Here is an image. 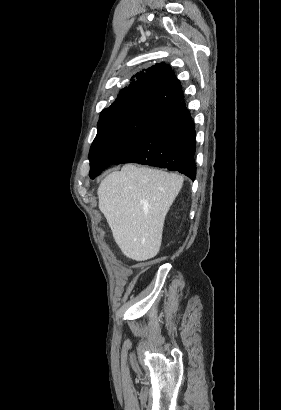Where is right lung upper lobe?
<instances>
[{
    "instance_id": "cb5924a9",
    "label": "right lung upper lobe",
    "mask_w": 281,
    "mask_h": 410,
    "mask_svg": "<svg viewBox=\"0 0 281 410\" xmlns=\"http://www.w3.org/2000/svg\"><path fill=\"white\" fill-rule=\"evenodd\" d=\"M135 77L110 107L140 103L168 110L183 100L180 81L167 64L157 63Z\"/></svg>"
}]
</instances>
